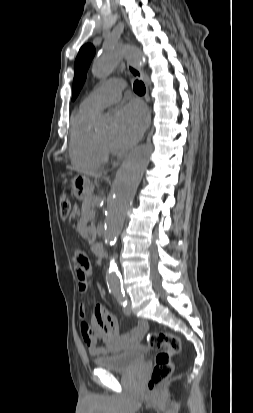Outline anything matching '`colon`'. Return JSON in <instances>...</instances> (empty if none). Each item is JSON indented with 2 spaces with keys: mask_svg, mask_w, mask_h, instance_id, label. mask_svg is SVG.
Wrapping results in <instances>:
<instances>
[{
  "mask_svg": "<svg viewBox=\"0 0 253 413\" xmlns=\"http://www.w3.org/2000/svg\"><path fill=\"white\" fill-rule=\"evenodd\" d=\"M59 212L62 218H68L71 213V202L65 195L59 198ZM147 343L151 349L159 350L147 383L150 394H156L161 384L174 371L173 357L181 351V340L176 335L166 332H151L147 336Z\"/></svg>",
  "mask_w": 253,
  "mask_h": 413,
  "instance_id": "5ec220e1",
  "label": "colon"
}]
</instances>
